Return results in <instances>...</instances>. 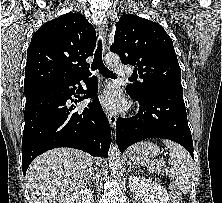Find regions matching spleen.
I'll return each instance as SVG.
<instances>
[{
	"mask_svg": "<svg viewBox=\"0 0 222 203\" xmlns=\"http://www.w3.org/2000/svg\"><path fill=\"white\" fill-rule=\"evenodd\" d=\"M170 152L169 165L166 174L173 180L174 184L183 192L191 189L194 176V164L190 154L180 144L170 140H163Z\"/></svg>",
	"mask_w": 222,
	"mask_h": 203,
	"instance_id": "spleen-1",
	"label": "spleen"
}]
</instances>
